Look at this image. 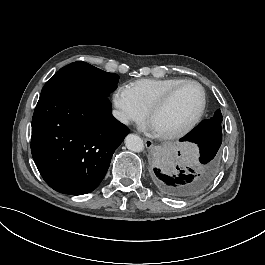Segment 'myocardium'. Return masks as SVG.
Instances as JSON below:
<instances>
[{"label": "myocardium", "mask_w": 265, "mask_h": 265, "mask_svg": "<svg viewBox=\"0 0 265 265\" xmlns=\"http://www.w3.org/2000/svg\"><path fill=\"white\" fill-rule=\"evenodd\" d=\"M186 84H195L199 87L202 94V101L199 110L197 111L196 115L191 119L189 123H187L184 127L165 134H157L158 138L162 140H173L180 137L185 136L188 134L201 120L203 117L206 107H207V101H208V95L207 90L205 86L195 79H184L174 85L148 112V123L150 124L153 116L160 111L162 108H164L177 94V92L180 90V88Z\"/></svg>", "instance_id": "obj_1"}]
</instances>
